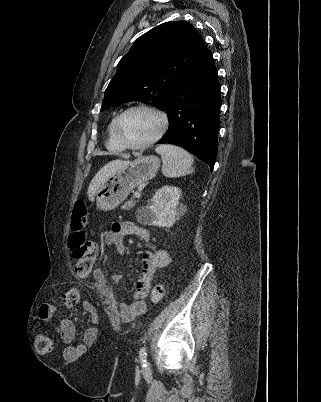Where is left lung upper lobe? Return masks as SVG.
<instances>
[{"label": "left lung upper lobe", "instance_id": "obj_1", "mask_svg": "<svg viewBox=\"0 0 321 402\" xmlns=\"http://www.w3.org/2000/svg\"><path fill=\"white\" fill-rule=\"evenodd\" d=\"M205 50L202 37L188 22H166L151 29L118 63L101 111L134 100L164 109L172 90Z\"/></svg>", "mask_w": 321, "mask_h": 402}]
</instances>
